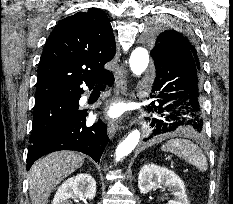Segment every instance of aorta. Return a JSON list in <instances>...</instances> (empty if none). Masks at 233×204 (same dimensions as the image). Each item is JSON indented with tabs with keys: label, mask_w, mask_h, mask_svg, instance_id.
Masks as SVG:
<instances>
[{
	"label": "aorta",
	"mask_w": 233,
	"mask_h": 204,
	"mask_svg": "<svg viewBox=\"0 0 233 204\" xmlns=\"http://www.w3.org/2000/svg\"><path fill=\"white\" fill-rule=\"evenodd\" d=\"M149 64L148 51L143 47L136 48L129 59V65L133 74L141 75ZM140 140V131L135 129L118 145L115 151V160L119 162L122 158L131 153L138 145Z\"/></svg>",
	"instance_id": "762f6f07"
}]
</instances>
